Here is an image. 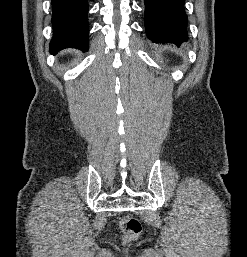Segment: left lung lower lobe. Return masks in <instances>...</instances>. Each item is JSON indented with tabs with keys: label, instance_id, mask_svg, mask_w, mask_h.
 <instances>
[{
	"label": "left lung lower lobe",
	"instance_id": "left-lung-lower-lobe-1",
	"mask_svg": "<svg viewBox=\"0 0 247 257\" xmlns=\"http://www.w3.org/2000/svg\"><path fill=\"white\" fill-rule=\"evenodd\" d=\"M145 30L155 43H171L180 46L188 40L185 0H144Z\"/></svg>",
	"mask_w": 247,
	"mask_h": 257
}]
</instances>
